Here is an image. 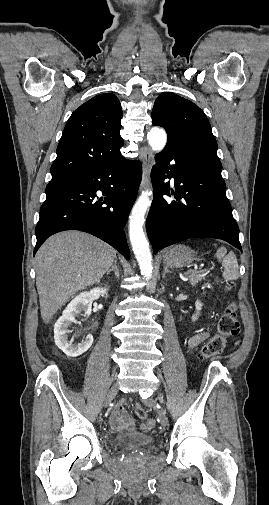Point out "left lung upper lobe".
Masks as SVG:
<instances>
[{
	"instance_id": "obj_1",
	"label": "left lung upper lobe",
	"mask_w": 269,
	"mask_h": 505,
	"mask_svg": "<svg viewBox=\"0 0 269 505\" xmlns=\"http://www.w3.org/2000/svg\"><path fill=\"white\" fill-rule=\"evenodd\" d=\"M152 123L165 128L168 140L183 141L208 151L219 159L210 123L204 112L193 102L174 93H162L154 103Z\"/></svg>"
}]
</instances>
